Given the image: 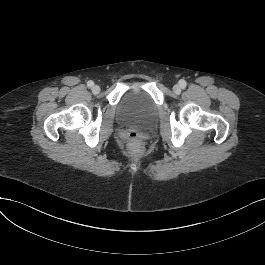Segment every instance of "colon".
<instances>
[{
    "label": "colon",
    "instance_id": "colon-1",
    "mask_svg": "<svg viewBox=\"0 0 265 265\" xmlns=\"http://www.w3.org/2000/svg\"><path fill=\"white\" fill-rule=\"evenodd\" d=\"M123 138L129 142L134 152H138L140 149L141 134L136 131L126 132Z\"/></svg>",
    "mask_w": 265,
    "mask_h": 265
}]
</instances>
